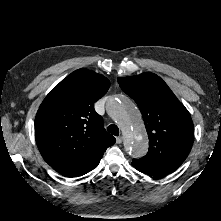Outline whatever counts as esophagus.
<instances>
[{"mask_svg": "<svg viewBox=\"0 0 221 221\" xmlns=\"http://www.w3.org/2000/svg\"><path fill=\"white\" fill-rule=\"evenodd\" d=\"M122 141H123L122 136H118V137L116 138V143H117V144H121Z\"/></svg>", "mask_w": 221, "mask_h": 221, "instance_id": "34e87169", "label": "esophagus"}]
</instances>
